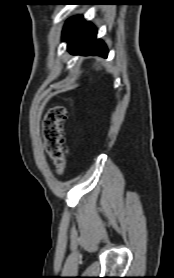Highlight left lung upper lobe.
I'll list each match as a JSON object with an SVG mask.
<instances>
[{"label":"left lung upper lobe","instance_id":"5c2ea615","mask_svg":"<svg viewBox=\"0 0 174 278\" xmlns=\"http://www.w3.org/2000/svg\"><path fill=\"white\" fill-rule=\"evenodd\" d=\"M71 22H72V18L69 19V20H67V22H66V24H65V26H64L63 35H62L63 39H65L66 36H67L68 33H69L70 26H71Z\"/></svg>","mask_w":174,"mask_h":278}]
</instances>
